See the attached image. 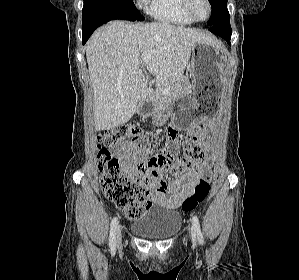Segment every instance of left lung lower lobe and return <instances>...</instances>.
<instances>
[{"label": "left lung lower lobe", "instance_id": "0a47b994", "mask_svg": "<svg viewBox=\"0 0 299 280\" xmlns=\"http://www.w3.org/2000/svg\"><path fill=\"white\" fill-rule=\"evenodd\" d=\"M209 31L224 38L226 42L229 45H231L230 38H231L232 30L230 26V18H229V13L227 8L219 18V21L213 24L212 26H210Z\"/></svg>", "mask_w": 299, "mask_h": 280}]
</instances>
